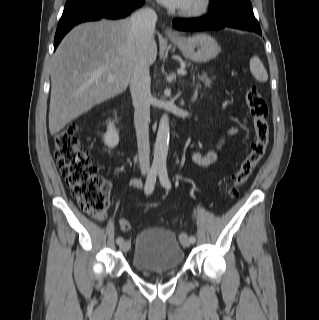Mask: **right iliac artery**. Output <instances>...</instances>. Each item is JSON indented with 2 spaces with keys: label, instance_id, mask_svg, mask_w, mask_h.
Segmentation results:
<instances>
[{
  "label": "right iliac artery",
  "instance_id": "right-iliac-artery-1",
  "mask_svg": "<svg viewBox=\"0 0 319 320\" xmlns=\"http://www.w3.org/2000/svg\"><path fill=\"white\" fill-rule=\"evenodd\" d=\"M158 168L157 167H152L149 175L147 177L146 183H145V194L149 195L152 193L154 190L155 182H156V176H157ZM124 239L122 237H118L116 239V243L118 245L122 244Z\"/></svg>",
  "mask_w": 319,
  "mask_h": 320
}]
</instances>
